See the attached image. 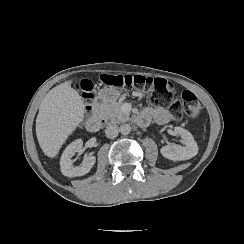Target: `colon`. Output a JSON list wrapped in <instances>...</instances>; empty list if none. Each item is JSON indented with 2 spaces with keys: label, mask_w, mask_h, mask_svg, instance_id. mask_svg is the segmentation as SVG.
Segmentation results:
<instances>
[{
  "label": "colon",
  "mask_w": 244,
  "mask_h": 244,
  "mask_svg": "<svg viewBox=\"0 0 244 244\" xmlns=\"http://www.w3.org/2000/svg\"><path fill=\"white\" fill-rule=\"evenodd\" d=\"M100 80L109 85L117 87H132L138 91H145L148 101L157 107L168 108L171 113L181 117L195 119L202 110V103L190 90H184L181 99L173 96L171 86L165 79L142 75H110L102 74ZM93 85L85 84L83 92L85 100L92 99Z\"/></svg>",
  "instance_id": "colon-1"
}]
</instances>
